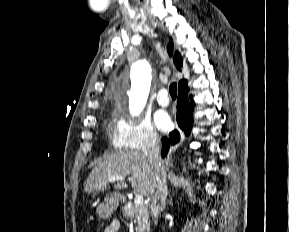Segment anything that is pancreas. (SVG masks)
Listing matches in <instances>:
<instances>
[{
  "mask_svg": "<svg viewBox=\"0 0 289 232\" xmlns=\"http://www.w3.org/2000/svg\"><path fill=\"white\" fill-rule=\"evenodd\" d=\"M123 216L127 219H134L135 223H137L136 232H149V213L145 205H136L128 202L123 208Z\"/></svg>",
  "mask_w": 289,
  "mask_h": 232,
  "instance_id": "obj_1",
  "label": "pancreas"
}]
</instances>
